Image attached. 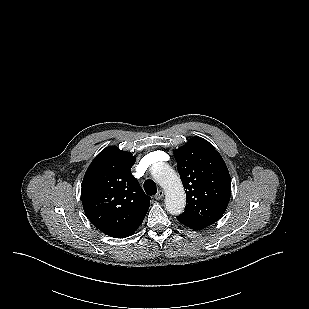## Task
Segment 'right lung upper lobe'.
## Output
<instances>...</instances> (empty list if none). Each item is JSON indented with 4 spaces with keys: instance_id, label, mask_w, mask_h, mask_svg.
Listing matches in <instances>:
<instances>
[{
    "instance_id": "cb5924a9",
    "label": "right lung upper lobe",
    "mask_w": 309,
    "mask_h": 309,
    "mask_svg": "<svg viewBox=\"0 0 309 309\" xmlns=\"http://www.w3.org/2000/svg\"><path fill=\"white\" fill-rule=\"evenodd\" d=\"M136 158L110 146L89 165L82 182L81 198L90 222L103 233L125 238L141 225L150 206L131 174Z\"/></svg>"
}]
</instances>
